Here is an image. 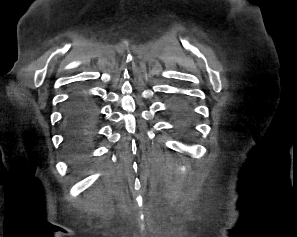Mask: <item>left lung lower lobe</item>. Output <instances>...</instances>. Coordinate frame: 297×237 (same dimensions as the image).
<instances>
[{"label":"left lung lower lobe","instance_id":"obj_1","mask_svg":"<svg viewBox=\"0 0 297 237\" xmlns=\"http://www.w3.org/2000/svg\"><path fill=\"white\" fill-rule=\"evenodd\" d=\"M175 110L183 119H187L189 117V109L186 105L180 104Z\"/></svg>","mask_w":297,"mask_h":237}]
</instances>
